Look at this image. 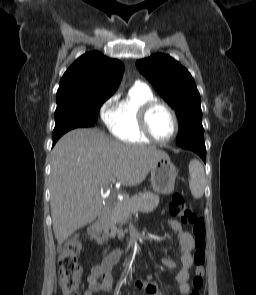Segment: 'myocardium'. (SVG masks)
<instances>
[{"instance_id": "myocardium-1", "label": "myocardium", "mask_w": 256, "mask_h": 295, "mask_svg": "<svg viewBox=\"0 0 256 295\" xmlns=\"http://www.w3.org/2000/svg\"><path fill=\"white\" fill-rule=\"evenodd\" d=\"M157 107H163L165 108L169 114L171 115L173 122H174V131L172 133V135L164 140L158 139L152 132L151 128H150V124H149V117L151 112L157 108ZM139 124H140V128L142 130V132L153 142L158 143V144H167L169 142H171L176 135L178 134L179 131V120L177 117L176 112L174 111V109L168 105L167 103L161 101V100H153L150 102H147L146 104H144L142 106V108L140 109L139 112Z\"/></svg>"}]
</instances>
